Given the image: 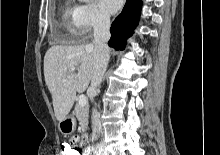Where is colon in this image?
Returning <instances> with one entry per match:
<instances>
[{"label":"colon","instance_id":"colon-1","mask_svg":"<svg viewBox=\"0 0 220 155\" xmlns=\"http://www.w3.org/2000/svg\"><path fill=\"white\" fill-rule=\"evenodd\" d=\"M87 145H64L62 144V154L63 155H80L83 148H85Z\"/></svg>","mask_w":220,"mask_h":155}]
</instances>
